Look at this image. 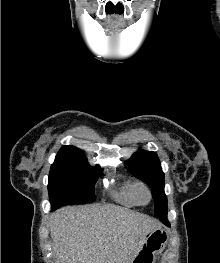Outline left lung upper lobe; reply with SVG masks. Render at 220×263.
<instances>
[{
	"mask_svg": "<svg viewBox=\"0 0 220 263\" xmlns=\"http://www.w3.org/2000/svg\"><path fill=\"white\" fill-rule=\"evenodd\" d=\"M127 164L131 174L152 187L155 214L158 217L166 216L167 197L164 193V173L157 154L152 151H138L128 160Z\"/></svg>",
	"mask_w": 220,
	"mask_h": 263,
	"instance_id": "left-lung-upper-lobe-1",
	"label": "left lung upper lobe"
}]
</instances>
